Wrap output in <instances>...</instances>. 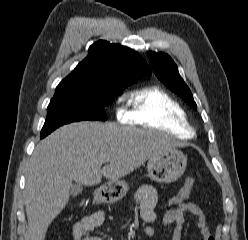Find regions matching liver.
I'll return each instance as SVG.
<instances>
[{
    "label": "liver",
    "instance_id": "1",
    "mask_svg": "<svg viewBox=\"0 0 248 240\" xmlns=\"http://www.w3.org/2000/svg\"><path fill=\"white\" fill-rule=\"evenodd\" d=\"M181 144L168 136L114 123L78 122L60 127L35 148L26 177L25 209L31 240H44L69 200L75 181L94 186L130 174L151 157ZM107 163L103 168L101 165Z\"/></svg>",
    "mask_w": 248,
    "mask_h": 240
}]
</instances>
